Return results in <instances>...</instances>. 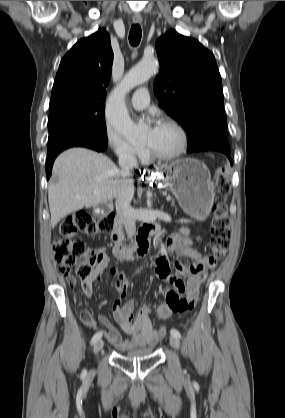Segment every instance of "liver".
Segmentation results:
<instances>
[{
    "label": "liver",
    "instance_id": "liver-1",
    "mask_svg": "<svg viewBox=\"0 0 285 418\" xmlns=\"http://www.w3.org/2000/svg\"><path fill=\"white\" fill-rule=\"evenodd\" d=\"M53 176L56 181L48 186L51 227L74 211L111 201L121 189V171L112 160L86 148L62 152Z\"/></svg>",
    "mask_w": 285,
    "mask_h": 418
}]
</instances>
